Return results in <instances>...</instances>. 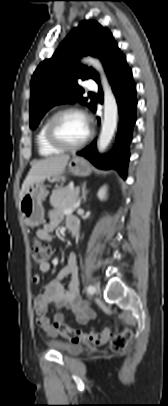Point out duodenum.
I'll return each mask as SVG.
<instances>
[{
    "label": "duodenum",
    "instance_id": "duodenum-1",
    "mask_svg": "<svg viewBox=\"0 0 168 406\" xmlns=\"http://www.w3.org/2000/svg\"><path fill=\"white\" fill-rule=\"evenodd\" d=\"M68 228L73 237H76L78 232V222L77 221H70L68 224Z\"/></svg>",
    "mask_w": 168,
    "mask_h": 406
}]
</instances>
